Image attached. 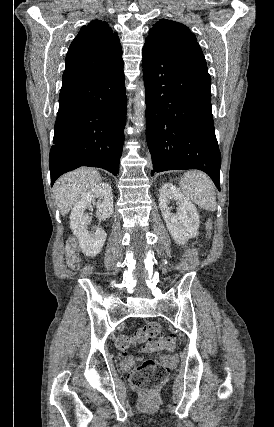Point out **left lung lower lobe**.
Instances as JSON below:
<instances>
[{
  "mask_svg": "<svg viewBox=\"0 0 274 427\" xmlns=\"http://www.w3.org/2000/svg\"><path fill=\"white\" fill-rule=\"evenodd\" d=\"M146 138L156 172L199 169L220 190L221 156L214 132L208 70L145 41Z\"/></svg>",
  "mask_w": 274,
  "mask_h": 427,
  "instance_id": "left-lung-lower-lobe-1",
  "label": "left lung lower lobe"
}]
</instances>
